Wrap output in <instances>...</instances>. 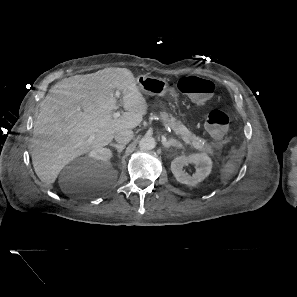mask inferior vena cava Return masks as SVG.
<instances>
[{
    "mask_svg": "<svg viewBox=\"0 0 297 297\" xmlns=\"http://www.w3.org/2000/svg\"><path fill=\"white\" fill-rule=\"evenodd\" d=\"M134 137V133L131 129L120 130L115 134V140L120 144L124 145L130 142Z\"/></svg>",
    "mask_w": 297,
    "mask_h": 297,
    "instance_id": "inferior-vena-cava-1",
    "label": "inferior vena cava"
}]
</instances>
